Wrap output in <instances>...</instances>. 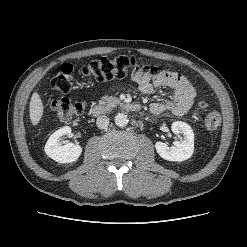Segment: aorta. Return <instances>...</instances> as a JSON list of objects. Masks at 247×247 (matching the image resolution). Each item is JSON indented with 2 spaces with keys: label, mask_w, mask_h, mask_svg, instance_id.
<instances>
[{
  "label": "aorta",
  "mask_w": 247,
  "mask_h": 247,
  "mask_svg": "<svg viewBox=\"0 0 247 247\" xmlns=\"http://www.w3.org/2000/svg\"><path fill=\"white\" fill-rule=\"evenodd\" d=\"M114 121H115V124L121 128L127 126L128 122H129L127 115L124 113H118L115 116Z\"/></svg>",
  "instance_id": "762f6f07"
}]
</instances>
